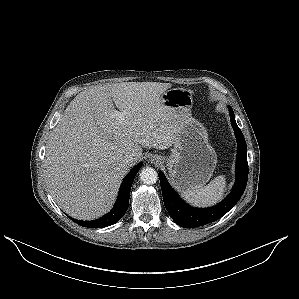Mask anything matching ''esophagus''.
Wrapping results in <instances>:
<instances>
[{
  "instance_id": "esophagus-1",
  "label": "esophagus",
  "mask_w": 299,
  "mask_h": 299,
  "mask_svg": "<svg viewBox=\"0 0 299 299\" xmlns=\"http://www.w3.org/2000/svg\"><path fill=\"white\" fill-rule=\"evenodd\" d=\"M154 160H156V159H153V161H154ZM156 162H158V158H157Z\"/></svg>"
}]
</instances>
